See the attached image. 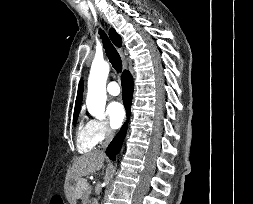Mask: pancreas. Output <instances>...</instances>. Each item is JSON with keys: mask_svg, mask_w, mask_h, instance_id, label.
I'll return each instance as SVG.
<instances>
[{"mask_svg": "<svg viewBox=\"0 0 253 204\" xmlns=\"http://www.w3.org/2000/svg\"><path fill=\"white\" fill-rule=\"evenodd\" d=\"M85 184H88L87 180L84 178L79 179L75 192L79 195L84 201L88 200V197L91 193V187H85Z\"/></svg>", "mask_w": 253, "mask_h": 204, "instance_id": "cf45deb5", "label": "pancreas"}]
</instances>
